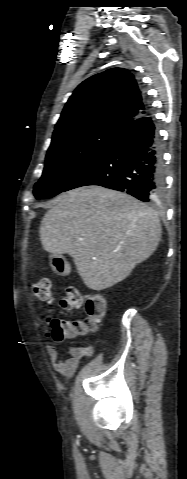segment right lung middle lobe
Instances as JSON below:
<instances>
[{
	"label": "right lung middle lobe",
	"instance_id": "1",
	"mask_svg": "<svg viewBox=\"0 0 187 479\" xmlns=\"http://www.w3.org/2000/svg\"><path fill=\"white\" fill-rule=\"evenodd\" d=\"M121 129L97 124L63 132L52 138L41 179L34 186L37 199L51 198L99 157Z\"/></svg>",
	"mask_w": 187,
	"mask_h": 479
}]
</instances>
